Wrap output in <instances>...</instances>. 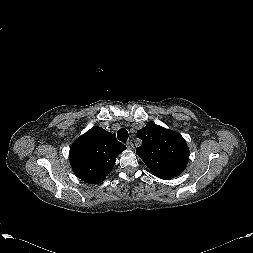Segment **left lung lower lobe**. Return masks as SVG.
<instances>
[{"mask_svg":"<svg viewBox=\"0 0 253 253\" xmlns=\"http://www.w3.org/2000/svg\"><path fill=\"white\" fill-rule=\"evenodd\" d=\"M157 177L161 178V179H164V180H169V179L173 178V177L168 176V175H161V176H157Z\"/></svg>","mask_w":253,"mask_h":253,"instance_id":"obj_1","label":"left lung lower lobe"}]
</instances>
